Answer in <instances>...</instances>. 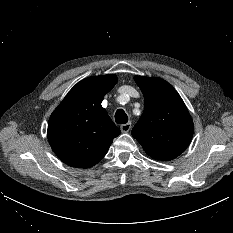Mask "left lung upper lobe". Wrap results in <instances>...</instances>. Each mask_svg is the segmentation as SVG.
<instances>
[{"label": "left lung upper lobe", "instance_id": "5c2ea615", "mask_svg": "<svg viewBox=\"0 0 233 233\" xmlns=\"http://www.w3.org/2000/svg\"><path fill=\"white\" fill-rule=\"evenodd\" d=\"M145 107L132 129L133 137L152 158L170 161L189 145L193 121L177 91L165 80L135 76Z\"/></svg>", "mask_w": 233, "mask_h": 233}]
</instances>
